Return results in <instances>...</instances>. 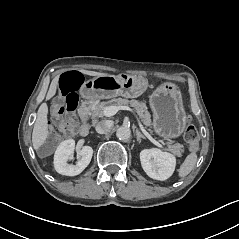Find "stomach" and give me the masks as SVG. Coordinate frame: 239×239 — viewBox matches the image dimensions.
<instances>
[{
  "label": "stomach",
  "instance_id": "0dacf381",
  "mask_svg": "<svg viewBox=\"0 0 239 239\" xmlns=\"http://www.w3.org/2000/svg\"><path fill=\"white\" fill-rule=\"evenodd\" d=\"M148 86V80L144 76L121 73L89 79L82 84L79 93L84 100L91 102L117 96L136 98ZM148 99L154 134L165 140L180 137L188 124L181 87L175 82L165 81L154 89Z\"/></svg>",
  "mask_w": 239,
  "mask_h": 239
}]
</instances>
